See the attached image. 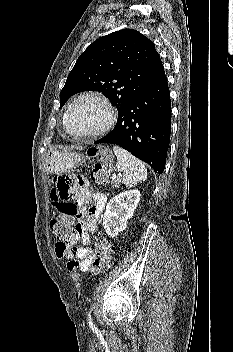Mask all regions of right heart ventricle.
Masks as SVG:
<instances>
[{
  "mask_svg": "<svg viewBox=\"0 0 233 352\" xmlns=\"http://www.w3.org/2000/svg\"><path fill=\"white\" fill-rule=\"evenodd\" d=\"M65 114H66V113H65ZM65 114H64V116H63V127H64V129L66 130V132H68L67 129H66V126H65Z\"/></svg>",
  "mask_w": 233,
  "mask_h": 352,
  "instance_id": "right-heart-ventricle-1",
  "label": "right heart ventricle"
}]
</instances>
